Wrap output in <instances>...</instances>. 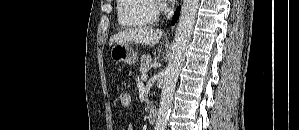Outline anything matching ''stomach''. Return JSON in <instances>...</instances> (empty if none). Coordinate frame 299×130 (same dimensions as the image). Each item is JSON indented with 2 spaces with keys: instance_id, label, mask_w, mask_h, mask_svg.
I'll return each instance as SVG.
<instances>
[{
  "instance_id": "1",
  "label": "stomach",
  "mask_w": 299,
  "mask_h": 130,
  "mask_svg": "<svg viewBox=\"0 0 299 130\" xmlns=\"http://www.w3.org/2000/svg\"><path fill=\"white\" fill-rule=\"evenodd\" d=\"M110 57L116 63H127L133 65L137 62V53L130 43H116L110 50Z\"/></svg>"
}]
</instances>
